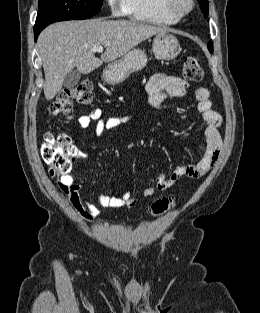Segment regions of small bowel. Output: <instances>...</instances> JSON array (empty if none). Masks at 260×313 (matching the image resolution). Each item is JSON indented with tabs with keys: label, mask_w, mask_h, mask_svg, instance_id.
Returning <instances> with one entry per match:
<instances>
[{
	"label": "small bowel",
	"mask_w": 260,
	"mask_h": 313,
	"mask_svg": "<svg viewBox=\"0 0 260 313\" xmlns=\"http://www.w3.org/2000/svg\"><path fill=\"white\" fill-rule=\"evenodd\" d=\"M188 87V83L181 77L168 74L154 75L146 84L148 104L152 110L158 111L165 99L169 97H184ZM195 98L198 101V110L206 123L205 151L198 163L179 165L173 170L171 175L159 174L156 178V185L144 189L142 194L145 198L152 197L157 191L163 192L170 189L182 177L201 178L208 174L217 163L223 146V140L219 131L222 118L212 109L210 94L207 88L198 87L195 90ZM94 121L96 122V132L103 134L106 130L134 122L135 117L128 115L103 119L101 109L93 108L77 119L78 125L83 129L88 128ZM82 157V153L77 154V159ZM59 187L77 214L86 222H90L98 217L101 214V208H131L138 202V199L131 196L130 192H126L119 197L100 195L97 204L83 200L80 194L81 185L75 181L71 173L60 178Z\"/></svg>",
	"instance_id": "1"
}]
</instances>
